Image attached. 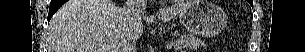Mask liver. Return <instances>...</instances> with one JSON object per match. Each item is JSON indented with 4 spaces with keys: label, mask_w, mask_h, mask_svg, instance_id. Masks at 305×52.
Here are the masks:
<instances>
[{
    "label": "liver",
    "mask_w": 305,
    "mask_h": 52,
    "mask_svg": "<svg viewBox=\"0 0 305 52\" xmlns=\"http://www.w3.org/2000/svg\"><path fill=\"white\" fill-rule=\"evenodd\" d=\"M191 1L163 9L159 18L173 19ZM138 39L142 21L130 29ZM127 31L122 9L110 0H69L52 17L48 28V52H117Z\"/></svg>",
    "instance_id": "6515ba94"
}]
</instances>
